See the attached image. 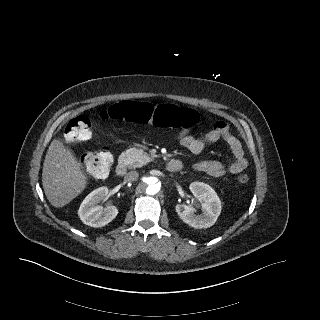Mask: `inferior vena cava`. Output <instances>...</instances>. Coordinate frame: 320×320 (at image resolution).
<instances>
[{"label":"inferior vena cava","mask_w":320,"mask_h":320,"mask_svg":"<svg viewBox=\"0 0 320 320\" xmlns=\"http://www.w3.org/2000/svg\"><path fill=\"white\" fill-rule=\"evenodd\" d=\"M139 176V173L137 171H130L128 172L125 177H124V181L125 182H132L134 180H136Z\"/></svg>","instance_id":"inferior-vena-cava-1"}]
</instances>
